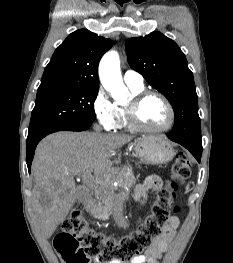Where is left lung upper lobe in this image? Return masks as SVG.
Wrapping results in <instances>:
<instances>
[{"label":"left lung upper lobe","instance_id":"5c2ea615","mask_svg":"<svg viewBox=\"0 0 233 263\" xmlns=\"http://www.w3.org/2000/svg\"><path fill=\"white\" fill-rule=\"evenodd\" d=\"M128 63L166 96L175 113L168 137L202 150L198 97L193 73L178 45L160 32L131 38L126 43Z\"/></svg>","mask_w":233,"mask_h":263}]
</instances>
